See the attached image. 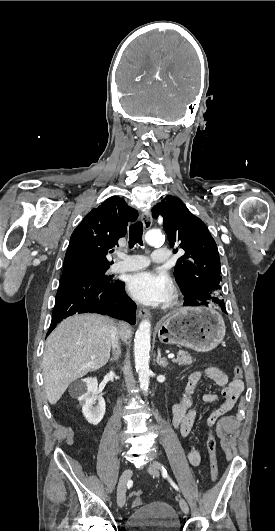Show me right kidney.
<instances>
[{"label": "right kidney", "mask_w": 275, "mask_h": 531, "mask_svg": "<svg viewBox=\"0 0 275 531\" xmlns=\"http://www.w3.org/2000/svg\"><path fill=\"white\" fill-rule=\"evenodd\" d=\"M69 393L71 397L78 399L79 405L82 407V413L90 425H98L102 421L105 415V401L98 393L96 377L75 381L71 385Z\"/></svg>", "instance_id": "obj_1"}]
</instances>
